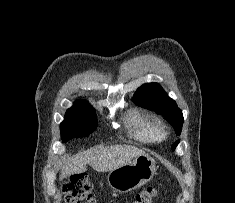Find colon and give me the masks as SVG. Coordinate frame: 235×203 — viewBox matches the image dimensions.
<instances>
[{
  "label": "colon",
  "instance_id": "5ec220e1",
  "mask_svg": "<svg viewBox=\"0 0 235 203\" xmlns=\"http://www.w3.org/2000/svg\"><path fill=\"white\" fill-rule=\"evenodd\" d=\"M63 189L66 203H97L92 184L84 174L70 176ZM157 196V189L148 187L137 193L129 203H154Z\"/></svg>",
  "mask_w": 235,
  "mask_h": 203
}]
</instances>
